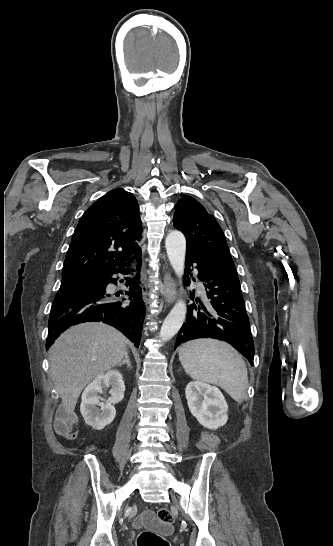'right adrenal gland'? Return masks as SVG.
Here are the masks:
<instances>
[{"label":"right adrenal gland","instance_id":"obj_1","mask_svg":"<svg viewBox=\"0 0 333 546\" xmlns=\"http://www.w3.org/2000/svg\"><path fill=\"white\" fill-rule=\"evenodd\" d=\"M124 364H127L128 368L131 367V363H130L129 356H128V351L125 352L124 359L122 360V362H120L118 364V366L120 367V366H122Z\"/></svg>","mask_w":333,"mask_h":546}]
</instances>
